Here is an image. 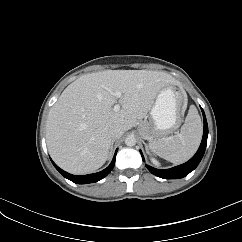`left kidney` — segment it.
Returning <instances> with one entry per match:
<instances>
[{"label":"left kidney","mask_w":242,"mask_h":242,"mask_svg":"<svg viewBox=\"0 0 242 242\" xmlns=\"http://www.w3.org/2000/svg\"><path fill=\"white\" fill-rule=\"evenodd\" d=\"M150 161H151L154 165L159 166V162H158L155 158L150 157Z\"/></svg>","instance_id":"1"}]
</instances>
